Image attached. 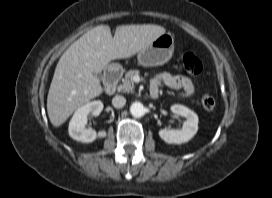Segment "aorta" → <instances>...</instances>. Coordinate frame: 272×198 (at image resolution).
Here are the masks:
<instances>
[{
	"instance_id": "obj_1",
	"label": "aorta",
	"mask_w": 272,
	"mask_h": 198,
	"mask_svg": "<svg viewBox=\"0 0 272 198\" xmlns=\"http://www.w3.org/2000/svg\"><path fill=\"white\" fill-rule=\"evenodd\" d=\"M130 113L133 117L140 118L145 114V107L140 102H134L130 106Z\"/></svg>"
}]
</instances>
